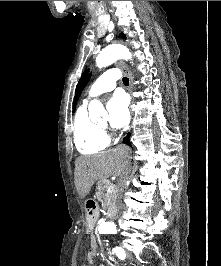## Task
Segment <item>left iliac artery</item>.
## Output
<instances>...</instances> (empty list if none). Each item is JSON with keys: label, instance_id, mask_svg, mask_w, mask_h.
Listing matches in <instances>:
<instances>
[{"label": "left iliac artery", "instance_id": "1", "mask_svg": "<svg viewBox=\"0 0 221 266\" xmlns=\"http://www.w3.org/2000/svg\"><path fill=\"white\" fill-rule=\"evenodd\" d=\"M114 253L118 256L120 259H124L126 257L125 251L121 247H115L113 249Z\"/></svg>", "mask_w": 221, "mask_h": 266}]
</instances>
